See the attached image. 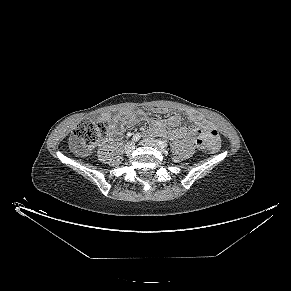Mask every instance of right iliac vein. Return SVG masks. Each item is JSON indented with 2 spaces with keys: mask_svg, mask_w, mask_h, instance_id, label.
Instances as JSON below:
<instances>
[{
  "mask_svg": "<svg viewBox=\"0 0 291 291\" xmlns=\"http://www.w3.org/2000/svg\"><path fill=\"white\" fill-rule=\"evenodd\" d=\"M124 149H125V152H126V153H131V152L135 149V144H134V142H128V143L125 145Z\"/></svg>",
  "mask_w": 291,
  "mask_h": 291,
  "instance_id": "obj_1",
  "label": "right iliac vein"
}]
</instances>
